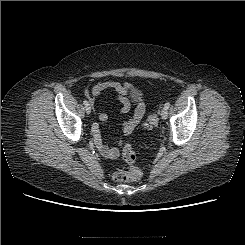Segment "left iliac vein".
<instances>
[{"label": "left iliac vein", "mask_w": 245, "mask_h": 245, "mask_svg": "<svg viewBox=\"0 0 245 245\" xmlns=\"http://www.w3.org/2000/svg\"><path fill=\"white\" fill-rule=\"evenodd\" d=\"M167 116H168V111H167V109L164 107L163 109H162V111H161V117H162V119H166L167 118Z\"/></svg>", "instance_id": "obj_1"}]
</instances>
